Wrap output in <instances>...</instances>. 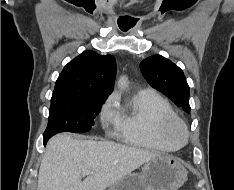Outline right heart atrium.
<instances>
[{
  "mask_svg": "<svg viewBox=\"0 0 234 190\" xmlns=\"http://www.w3.org/2000/svg\"><path fill=\"white\" fill-rule=\"evenodd\" d=\"M100 121L104 128H108L109 125L115 124L117 119V109H116V97L115 95H110L102 104L100 109Z\"/></svg>",
  "mask_w": 234,
  "mask_h": 190,
  "instance_id": "obj_1",
  "label": "right heart atrium"
}]
</instances>
